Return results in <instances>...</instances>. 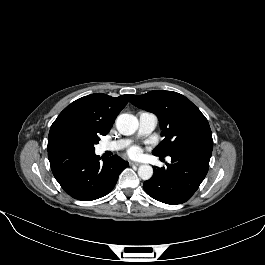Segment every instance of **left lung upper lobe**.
<instances>
[{"label": "left lung upper lobe", "mask_w": 265, "mask_h": 265, "mask_svg": "<svg viewBox=\"0 0 265 265\" xmlns=\"http://www.w3.org/2000/svg\"><path fill=\"white\" fill-rule=\"evenodd\" d=\"M130 102L140 109L153 112L159 119L164 140L153 150V154L167 156L189 141L212 136L205 116L182 94L154 90L143 95H132Z\"/></svg>", "instance_id": "left-lung-upper-lobe-1"}]
</instances>
